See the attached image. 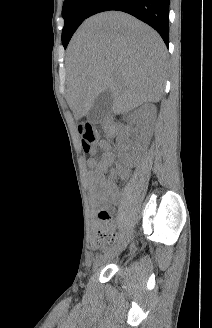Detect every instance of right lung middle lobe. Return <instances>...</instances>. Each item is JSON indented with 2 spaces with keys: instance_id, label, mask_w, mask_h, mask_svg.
Here are the masks:
<instances>
[{
  "instance_id": "obj_1",
  "label": "right lung middle lobe",
  "mask_w": 212,
  "mask_h": 328,
  "mask_svg": "<svg viewBox=\"0 0 212 328\" xmlns=\"http://www.w3.org/2000/svg\"><path fill=\"white\" fill-rule=\"evenodd\" d=\"M97 0H65L62 8L64 28L62 30V43L67 47L73 33L79 25L88 18L92 6Z\"/></svg>"
}]
</instances>
